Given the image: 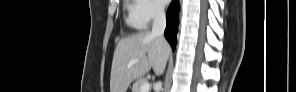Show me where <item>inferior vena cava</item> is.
Returning a JSON list of instances; mask_svg holds the SVG:
<instances>
[{
	"instance_id": "1",
	"label": "inferior vena cava",
	"mask_w": 296,
	"mask_h": 92,
	"mask_svg": "<svg viewBox=\"0 0 296 92\" xmlns=\"http://www.w3.org/2000/svg\"><path fill=\"white\" fill-rule=\"evenodd\" d=\"M165 27L166 17L164 7L162 5H156L154 9V19L151 34L163 38ZM160 89L161 83L157 85L156 92H160Z\"/></svg>"
}]
</instances>
